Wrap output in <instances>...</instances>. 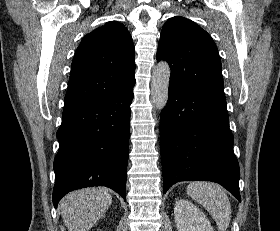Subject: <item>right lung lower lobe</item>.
Returning <instances> with one entry per match:
<instances>
[{"mask_svg":"<svg viewBox=\"0 0 280 231\" xmlns=\"http://www.w3.org/2000/svg\"><path fill=\"white\" fill-rule=\"evenodd\" d=\"M126 93L63 110L57 131L53 204L68 192L106 186L126 200L130 104Z\"/></svg>","mask_w":280,"mask_h":231,"instance_id":"obj_1","label":"right lung lower lobe"}]
</instances>
